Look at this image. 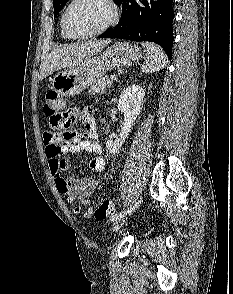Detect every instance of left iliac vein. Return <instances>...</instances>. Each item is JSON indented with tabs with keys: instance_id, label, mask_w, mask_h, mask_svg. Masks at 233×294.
<instances>
[{
	"instance_id": "obj_1",
	"label": "left iliac vein",
	"mask_w": 233,
	"mask_h": 294,
	"mask_svg": "<svg viewBox=\"0 0 233 294\" xmlns=\"http://www.w3.org/2000/svg\"><path fill=\"white\" fill-rule=\"evenodd\" d=\"M126 219H127V215L126 216L124 215L123 217L115 220L114 223H113V225H112V228H111L112 231L119 230L122 227V225L125 223V220Z\"/></svg>"
}]
</instances>
